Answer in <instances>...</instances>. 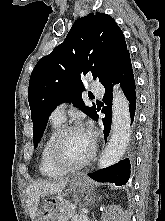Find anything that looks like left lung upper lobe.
I'll return each instance as SVG.
<instances>
[{"instance_id": "left-lung-upper-lobe-1", "label": "left lung upper lobe", "mask_w": 165, "mask_h": 221, "mask_svg": "<svg viewBox=\"0 0 165 221\" xmlns=\"http://www.w3.org/2000/svg\"><path fill=\"white\" fill-rule=\"evenodd\" d=\"M129 54L122 30L105 13H90L76 20L64 42L34 67L28 101L37 147L52 111L63 102L73 104L94 119L95 107L82 100L81 76L91 73L105 83Z\"/></svg>"}]
</instances>
